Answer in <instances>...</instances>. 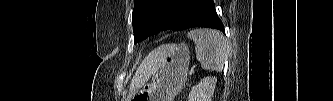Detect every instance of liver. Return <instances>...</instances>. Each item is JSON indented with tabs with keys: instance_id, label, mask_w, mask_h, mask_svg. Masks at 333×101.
Here are the masks:
<instances>
[{
	"instance_id": "6515ba94",
	"label": "liver",
	"mask_w": 333,
	"mask_h": 101,
	"mask_svg": "<svg viewBox=\"0 0 333 101\" xmlns=\"http://www.w3.org/2000/svg\"><path fill=\"white\" fill-rule=\"evenodd\" d=\"M163 48L164 46L155 49L142 61L130 85L131 95L135 94L138 89L142 88L151 75L157 71L161 61L160 56Z\"/></svg>"
}]
</instances>
